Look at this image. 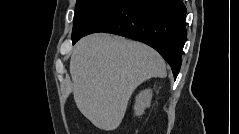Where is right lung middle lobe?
<instances>
[{
    "mask_svg": "<svg viewBox=\"0 0 239 134\" xmlns=\"http://www.w3.org/2000/svg\"><path fill=\"white\" fill-rule=\"evenodd\" d=\"M119 1L120 0H77L72 41L81 37L103 13Z\"/></svg>",
    "mask_w": 239,
    "mask_h": 134,
    "instance_id": "dd1d6c3e",
    "label": "right lung middle lobe"
}]
</instances>
